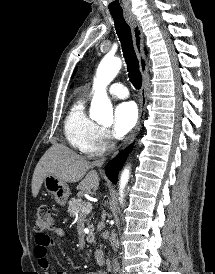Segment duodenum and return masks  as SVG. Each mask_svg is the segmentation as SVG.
Instances as JSON below:
<instances>
[{
  "instance_id": "410a0bca",
  "label": "duodenum",
  "mask_w": 215,
  "mask_h": 274,
  "mask_svg": "<svg viewBox=\"0 0 215 274\" xmlns=\"http://www.w3.org/2000/svg\"><path fill=\"white\" fill-rule=\"evenodd\" d=\"M94 258L99 265H103L105 263V254L102 249H96L94 252Z\"/></svg>"
}]
</instances>
